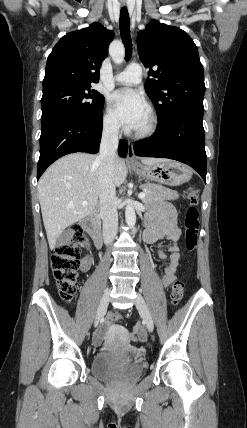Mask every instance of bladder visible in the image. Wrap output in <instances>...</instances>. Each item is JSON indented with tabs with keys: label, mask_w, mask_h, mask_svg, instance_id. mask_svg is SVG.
I'll use <instances>...</instances> for the list:
<instances>
[{
	"label": "bladder",
	"mask_w": 247,
	"mask_h": 428,
	"mask_svg": "<svg viewBox=\"0 0 247 428\" xmlns=\"http://www.w3.org/2000/svg\"><path fill=\"white\" fill-rule=\"evenodd\" d=\"M119 370L137 376L143 371V362L141 358L131 352L102 351L93 358L92 372L99 378H109Z\"/></svg>",
	"instance_id": "obj_1"
}]
</instances>
